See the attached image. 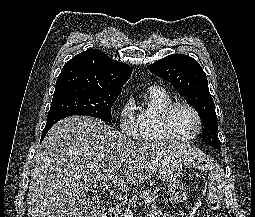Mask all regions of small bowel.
<instances>
[{"label":"small bowel","instance_id":"small-bowel-1","mask_svg":"<svg viewBox=\"0 0 255 217\" xmlns=\"http://www.w3.org/2000/svg\"><path fill=\"white\" fill-rule=\"evenodd\" d=\"M150 217H175L170 213H163L159 206L152 205L150 208Z\"/></svg>","mask_w":255,"mask_h":217}]
</instances>
